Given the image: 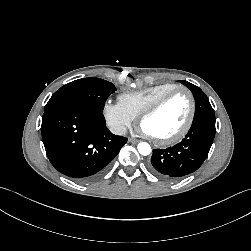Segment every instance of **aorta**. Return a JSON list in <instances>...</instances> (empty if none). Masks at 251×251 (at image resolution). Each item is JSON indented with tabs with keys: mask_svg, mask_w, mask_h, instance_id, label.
I'll list each match as a JSON object with an SVG mask.
<instances>
[{
	"mask_svg": "<svg viewBox=\"0 0 251 251\" xmlns=\"http://www.w3.org/2000/svg\"><path fill=\"white\" fill-rule=\"evenodd\" d=\"M137 149L139 153L143 156H147L151 152V146L146 142H141L138 144Z\"/></svg>",
	"mask_w": 251,
	"mask_h": 251,
	"instance_id": "762f6f07",
	"label": "aorta"
}]
</instances>
